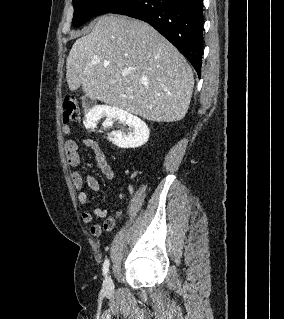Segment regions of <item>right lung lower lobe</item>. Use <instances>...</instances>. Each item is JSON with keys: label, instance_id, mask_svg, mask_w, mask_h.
<instances>
[{"label": "right lung lower lobe", "instance_id": "1", "mask_svg": "<svg viewBox=\"0 0 284 319\" xmlns=\"http://www.w3.org/2000/svg\"><path fill=\"white\" fill-rule=\"evenodd\" d=\"M203 0H129L111 13L149 23L166 37L201 74Z\"/></svg>", "mask_w": 284, "mask_h": 319}]
</instances>
